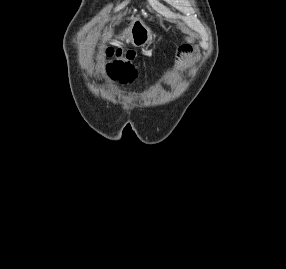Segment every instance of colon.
Wrapping results in <instances>:
<instances>
[{
  "label": "colon",
  "mask_w": 286,
  "mask_h": 269,
  "mask_svg": "<svg viewBox=\"0 0 286 269\" xmlns=\"http://www.w3.org/2000/svg\"><path fill=\"white\" fill-rule=\"evenodd\" d=\"M105 54L109 59H111L108 64V68L112 74L124 81H129L135 78L136 70L132 62L134 58L133 51L123 53L119 49L108 46L105 50Z\"/></svg>",
  "instance_id": "1"
}]
</instances>
